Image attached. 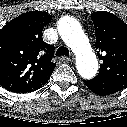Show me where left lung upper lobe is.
Here are the masks:
<instances>
[{"label":"left lung upper lobe","mask_w":127,"mask_h":127,"mask_svg":"<svg viewBox=\"0 0 127 127\" xmlns=\"http://www.w3.org/2000/svg\"><path fill=\"white\" fill-rule=\"evenodd\" d=\"M96 31V50L100 64L97 77L127 87V24L112 13L94 12L91 16Z\"/></svg>","instance_id":"5c2ea615"}]
</instances>
